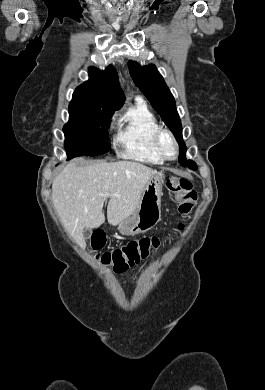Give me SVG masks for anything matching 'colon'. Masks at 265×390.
Masks as SVG:
<instances>
[{
  "mask_svg": "<svg viewBox=\"0 0 265 390\" xmlns=\"http://www.w3.org/2000/svg\"><path fill=\"white\" fill-rule=\"evenodd\" d=\"M166 186L178 201L179 212L187 219L197 200V193L192 182L186 178L172 176L167 179ZM183 228L184 224L179 223L178 230ZM105 243L106 238L103 232L95 231L92 234L91 249L95 252L96 258L115 273H122L138 265L155 252L161 244V238L158 236L143 237L111 251L101 252Z\"/></svg>",
  "mask_w": 265,
  "mask_h": 390,
  "instance_id": "1",
  "label": "colon"
}]
</instances>
